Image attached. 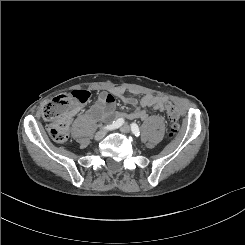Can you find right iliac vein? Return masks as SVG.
<instances>
[{"instance_id": "obj_1", "label": "right iliac vein", "mask_w": 245, "mask_h": 245, "mask_svg": "<svg viewBox=\"0 0 245 245\" xmlns=\"http://www.w3.org/2000/svg\"><path fill=\"white\" fill-rule=\"evenodd\" d=\"M107 131H108L107 129H103V130L98 131L95 135V140L99 141V140L103 139L105 137V135L107 134Z\"/></svg>"}]
</instances>
